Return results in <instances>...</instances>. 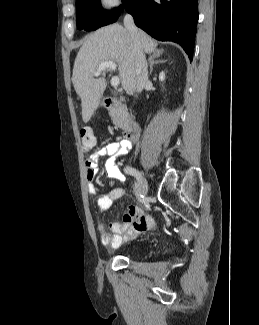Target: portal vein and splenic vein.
<instances>
[{
	"instance_id": "obj_1",
	"label": "portal vein and splenic vein",
	"mask_w": 259,
	"mask_h": 325,
	"mask_svg": "<svg viewBox=\"0 0 259 325\" xmlns=\"http://www.w3.org/2000/svg\"><path fill=\"white\" fill-rule=\"evenodd\" d=\"M117 67L116 63L113 61H105L103 63L100 64L99 68L97 69V71L94 73L95 77H98L101 72L105 71L106 69H111V70H115ZM120 83V79L117 76L112 77L111 79V85L116 87L118 86Z\"/></svg>"
}]
</instances>
